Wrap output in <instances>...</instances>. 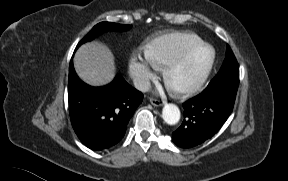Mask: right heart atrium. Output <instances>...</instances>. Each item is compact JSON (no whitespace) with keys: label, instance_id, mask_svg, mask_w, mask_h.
<instances>
[{"label":"right heart atrium","instance_id":"right-heart-atrium-1","mask_svg":"<svg viewBox=\"0 0 288 181\" xmlns=\"http://www.w3.org/2000/svg\"><path fill=\"white\" fill-rule=\"evenodd\" d=\"M157 69V65L146 55V53L143 56L132 54L129 59L130 75L136 85L141 89H145L148 86L149 81L152 79L154 72Z\"/></svg>","mask_w":288,"mask_h":181}]
</instances>
